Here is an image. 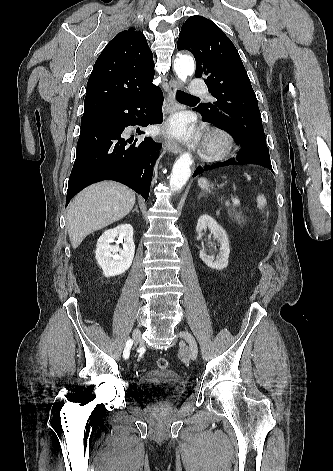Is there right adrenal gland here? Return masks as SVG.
Here are the masks:
<instances>
[{
	"mask_svg": "<svg viewBox=\"0 0 333 471\" xmlns=\"http://www.w3.org/2000/svg\"><path fill=\"white\" fill-rule=\"evenodd\" d=\"M136 211L137 213H139V210H138V206L136 205L135 209H133L132 212Z\"/></svg>",
	"mask_w": 333,
	"mask_h": 471,
	"instance_id": "right-adrenal-gland-1",
	"label": "right adrenal gland"
}]
</instances>
